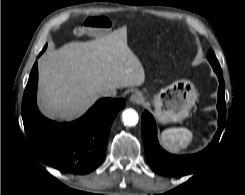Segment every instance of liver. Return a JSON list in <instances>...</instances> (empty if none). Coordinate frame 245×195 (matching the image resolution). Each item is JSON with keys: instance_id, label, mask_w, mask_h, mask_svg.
Listing matches in <instances>:
<instances>
[{"instance_id": "liver-1", "label": "liver", "mask_w": 245, "mask_h": 195, "mask_svg": "<svg viewBox=\"0 0 245 195\" xmlns=\"http://www.w3.org/2000/svg\"><path fill=\"white\" fill-rule=\"evenodd\" d=\"M39 106L50 118L73 120L104 90L140 86L145 71L127 44L126 26L88 42H70L38 61Z\"/></svg>"}]
</instances>
